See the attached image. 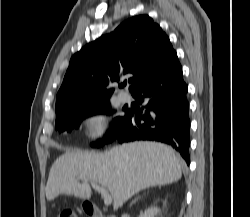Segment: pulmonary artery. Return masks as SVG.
I'll return each mask as SVG.
<instances>
[{
  "instance_id": "1",
  "label": "pulmonary artery",
  "mask_w": 250,
  "mask_h": 217,
  "mask_svg": "<svg viewBox=\"0 0 250 217\" xmlns=\"http://www.w3.org/2000/svg\"><path fill=\"white\" fill-rule=\"evenodd\" d=\"M117 97H118L119 101L122 103H127L130 101V96L124 92L118 93Z\"/></svg>"
}]
</instances>
